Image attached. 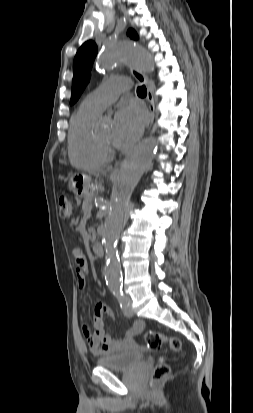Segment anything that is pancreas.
Masks as SVG:
<instances>
[{
  "label": "pancreas",
  "instance_id": "obj_1",
  "mask_svg": "<svg viewBox=\"0 0 253 413\" xmlns=\"http://www.w3.org/2000/svg\"><path fill=\"white\" fill-rule=\"evenodd\" d=\"M96 195L94 194V192H90L87 196H85V200L83 202V208L84 210H87L88 208L91 207L92 204V200ZM95 240V235L93 233V237H92V241Z\"/></svg>",
  "mask_w": 253,
  "mask_h": 413
}]
</instances>
